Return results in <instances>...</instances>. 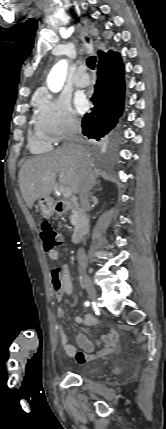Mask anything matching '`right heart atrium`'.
<instances>
[{
	"label": "right heart atrium",
	"mask_w": 166,
	"mask_h": 429,
	"mask_svg": "<svg viewBox=\"0 0 166 429\" xmlns=\"http://www.w3.org/2000/svg\"><path fill=\"white\" fill-rule=\"evenodd\" d=\"M36 128L51 142H60L78 132L81 122L65 96L43 94L37 99Z\"/></svg>",
	"instance_id": "1"
}]
</instances>
